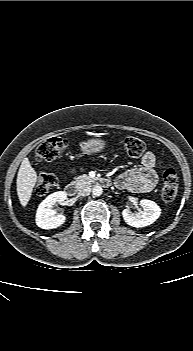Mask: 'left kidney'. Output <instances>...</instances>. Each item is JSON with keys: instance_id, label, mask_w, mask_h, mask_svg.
<instances>
[{"instance_id": "obj_1", "label": "left kidney", "mask_w": 193, "mask_h": 351, "mask_svg": "<svg viewBox=\"0 0 193 351\" xmlns=\"http://www.w3.org/2000/svg\"><path fill=\"white\" fill-rule=\"evenodd\" d=\"M140 205L143 211L139 210L136 214L130 212L128 209L122 212L124 221L132 227L140 228L151 225L161 214L160 207L154 201L142 199Z\"/></svg>"}]
</instances>
